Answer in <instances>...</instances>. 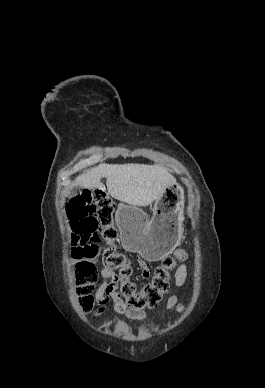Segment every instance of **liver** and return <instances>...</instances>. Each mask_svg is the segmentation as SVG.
<instances>
[{"label":"liver","mask_w":265,"mask_h":388,"mask_svg":"<svg viewBox=\"0 0 265 388\" xmlns=\"http://www.w3.org/2000/svg\"><path fill=\"white\" fill-rule=\"evenodd\" d=\"M101 178H106L108 194L112 198L131 206H149L154 200H161L168 186L176 184L175 178L161 166L100 164L88 174L78 176L72 186L106 190Z\"/></svg>","instance_id":"6515ba94"}]
</instances>
